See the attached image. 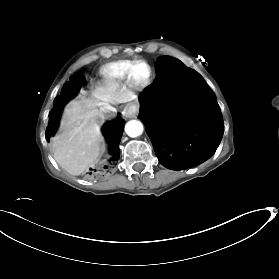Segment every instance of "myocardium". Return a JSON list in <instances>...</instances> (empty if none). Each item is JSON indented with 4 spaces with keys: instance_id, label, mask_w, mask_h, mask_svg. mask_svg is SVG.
Segmentation results:
<instances>
[{
    "instance_id": "1",
    "label": "myocardium",
    "mask_w": 279,
    "mask_h": 279,
    "mask_svg": "<svg viewBox=\"0 0 279 279\" xmlns=\"http://www.w3.org/2000/svg\"><path fill=\"white\" fill-rule=\"evenodd\" d=\"M138 64H144L147 69H148V75L145 79L143 80H139L134 76V69ZM153 79V69L151 67V65L142 59H137V60H133L130 63L128 72H127V80L129 82V84L131 85V87H133L136 90H142L145 89L146 87H148Z\"/></svg>"
}]
</instances>
